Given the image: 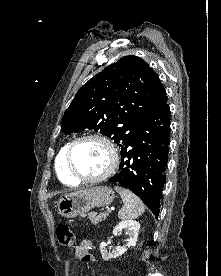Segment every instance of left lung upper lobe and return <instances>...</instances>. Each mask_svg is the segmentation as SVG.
I'll use <instances>...</instances> for the list:
<instances>
[{"label": "left lung upper lobe", "mask_w": 221, "mask_h": 276, "mask_svg": "<svg viewBox=\"0 0 221 276\" xmlns=\"http://www.w3.org/2000/svg\"><path fill=\"white\" fill-rule=\"evenodd\" d=\"M167 99L152 68L139 57L125 56L79 89L61 128L67 134L100 131L122 148Z\"/></svg>", "instance_id": "left-lung-upper-lobe-1"}]
</instances>
